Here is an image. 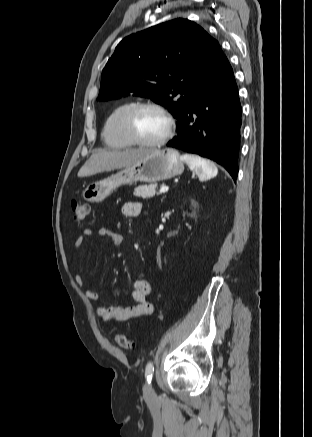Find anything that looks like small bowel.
<instances>
[{
    "label": "small bowel",
    "instance_id": "1",
    "mask_svg": "<svg viewBox=\"0 0 312 437\" xmlns=\"http://www.w3.org/2000/svg\"><path fill=\"white\" fill-rule=\"evenodd\" d=\"M141 209L142 205L140 202L129 201L122 206V213L127 217H135L140 214ZM97 234L98 236L109 238L114 247H120L123 243V236L109 228L101 227L98 229ZM91 235L92 231L86 229L83 234L76 239L75 247L77 249L81 248L84 245L85 237ZM76 282L78 285L83 284L82 278L79 275H76ZM86 294L91 301L98 303L96 306V314L103 322L112 320L126 321L132 318L149 315L153 312V306L147 300L151 295V288L149 283L144 279H137L134 282V289L132 292L134 304L130 306L105 305L100 302V294L95 290H87Z\"/></svg>",
    "mask_w": 312,
    "mask_h": 437
}]
</instances>
